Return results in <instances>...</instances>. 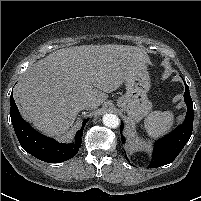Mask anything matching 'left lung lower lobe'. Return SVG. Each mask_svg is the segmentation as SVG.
I'll use <instances>...</instances> for the list:
<instances>
[{"instance_id":"left-lung-lower-lobe-1","label":"left lung lower lobe","mask_w":201,"mask_h":201,"mask_svg":"<svg viewBox=\"0 0 201 201\" xmlns=\"http://www.w3.org/2000/svg\"><path fill=\"white\" fill-rule=\"evenodd\" d=\"M184 99L187 105L184 123L155 143L152 160L148 165V168H157L171 163L190 139L193 129L194 112L189 87L186 83ZM123 127L124 125L121 123V131L123 130ZM121 139L122 142L125 143V137L123 135H121ZM126 159L128 160L127 156Z\"/></svg>"}]
</instances>
